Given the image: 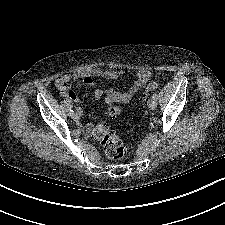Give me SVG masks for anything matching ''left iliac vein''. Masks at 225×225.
Wrapping results in <instances>:
<instances>
[{"instance_id":"obj_1","label":"left iliac vein","mask_w":225,"mask_h":225,"mask_svg":"<svg viewBox=\"0 0 225 225\" xmlns=\"http://www.w3.org/2000/svg\"><path fill=\"white\" fill-rule=\"evenodd\" d=\"M156 107H157V101L152 99L149 103V108L154 110V109H156Z\"/></svg>"}]
</instances>
